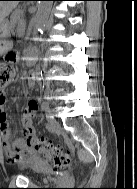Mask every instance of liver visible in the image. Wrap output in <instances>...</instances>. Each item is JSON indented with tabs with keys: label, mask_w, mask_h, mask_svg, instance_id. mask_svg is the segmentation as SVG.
Returning <instances> with one entry per match:
<instances>
[{
	"label": "liver",
	"mask_w": 137,
	"mask_h": 189,
	"mask_svg": "<svg viewBox=\"0 0 137 189\" xmlns=\"http://www.w3.org/2000/svg\"><path fill=\"white\" fill-rule=\"evenodd\" d=\"M18 5V1H0V28L3 27L5 18Z\"/></svg>",
	"instance_id": "6515ba94"
}]
</instances>
